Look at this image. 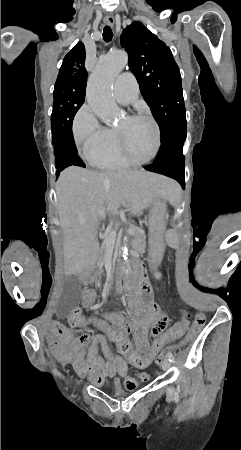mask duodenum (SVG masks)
I'll return each mask as SVG.
<instances>
[{"mask_svg": "<svg viewBox=\"0 0 241 450\" xmlns=\"http://www.w3.org/2000/svg\"><path fill=\"white\" fill-rule=\"evenodd\" d=\"M130 271L126 273V270ZM95 278V271L88 270L82 276L84 284H90ZM113 288L121 292L123 290H135L145 293L149 289V284L145 275L144 267L138 259H132L129 263L118 265L115 270Z\"/></svg>", "mask_w": 241, "mask_h": 450, "instance_id": "410a0bca", "label": "duodenum"}]
</instances>
